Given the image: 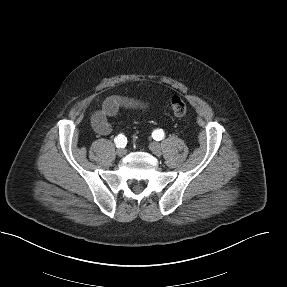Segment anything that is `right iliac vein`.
I'll return each mask as SVG.
<instances>
[{
    "mask_svg": "<svg viewBox=\"0 0 287 287\" xmlns=\"http://www.w3.org/2000/svg\"><path fill=\"white\" fill-rule=\"evenodd\" d=\"M126 153H127L126 149H122V148H119V149L116 151V154H117L119 157L125 156Z\"/></svg>",
    "mask_w": 287,
    "mask_h": 287,
    "instance_id": "right-iliac-vein-1",
    "label": "right iliac vein"
}]
</instances>
